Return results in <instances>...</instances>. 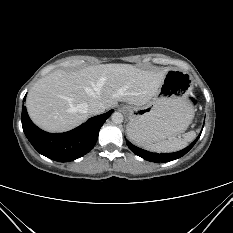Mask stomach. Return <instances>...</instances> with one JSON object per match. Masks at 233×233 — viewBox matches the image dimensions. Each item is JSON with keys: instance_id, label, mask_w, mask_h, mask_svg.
Segmentation results:
<instances>
[{"instance_id": "1", "label": "stomach", "mask_w": 233, "mask_h": 233, "mask_svg": "<svg viewBox=\"0 0 233 233\" xmlns=\"http://www.w3.org/2000/svg\"><path fill=\"white\" fill-rule=\"evenodd\" d=\"M193 89L188 72L169 69L151 101L145 106H124L128 114L127 132L141 144H153L183 133L194 117L189 94Z\"/></svg>"}]
</instances>
